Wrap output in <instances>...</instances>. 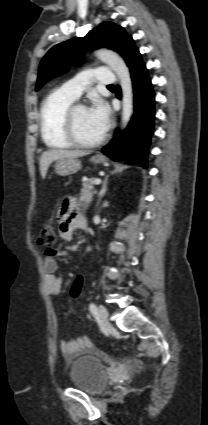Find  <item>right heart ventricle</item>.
<instances>
[{
	"instance_id": "obj_1",
	"label": "right heart ventricle",
	"mask_w": 208,
	"mask_h": 425,
	"mask_svg": "<svg viewBox=\"0 0 208 425\" xmlns=\"http://www.w3.org/2000/svg\"><path fill=\"white\" fill-rule=\"evenodd\" d=\"M75 99L60 89L50 93L40 109V132L43 142L51 149H69L72 144L64 132V115Z\"/></svg>"
}]
</instances>
